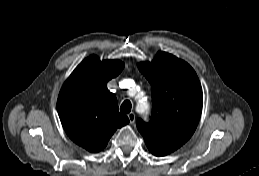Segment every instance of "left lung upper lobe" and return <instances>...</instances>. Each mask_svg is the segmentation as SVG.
Listing matches in <instances>:
<instances>
[{
    "label": "left lung upper lobe",
    "mask_w": 259,
    "mask_h": 176,
    "mask_svg": "<svg viewBox=\"0 0 259 176\" xmlns=\"http://www.w3.org/2000/svg\"><path fill=\"white\" fill-rule=\"evenodd\" d=\"M138 68L151 84L153 110L150 122L138 119L137 128L148 149L165 156L194 133L203 105L201 84L188 63L166 52Z\"/></svg>",
    "instance_id": "obj_1"
}]
</instances>
